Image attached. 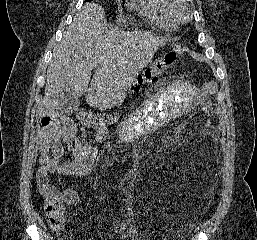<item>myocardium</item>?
I'll return each mask as SVG.
<instances>
[{"instance_id":"myocardium-1","label":"myocardium","mask_w":257,"mask_h":240,"mask_svg":"<svg viewBox=\"0 0 257 240\" xmlns=\"http://www.w3.org/2000/svg\"><path fill=\"white\" fill-rule=\"evenodd\" d=\"M172 12L176 19L185 20L189 17L191 8L184 0H173Z\"/></svg>"}]
</instances>
